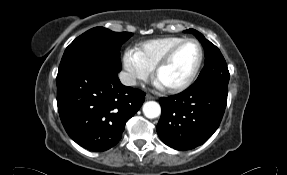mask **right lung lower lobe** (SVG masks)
I'll use <instances>...</instances> for the list:
<instances>
[{"mask_svg":"<svg viewBox=\"0 0 287 175\" xmlns=\"http://www.w3.org/2000/svg\"><path fill=\"white\" fill-rule=\"evenodd\" d=\"M118 72L80 65L57 75V105L68 135L90 151H105L122 137L125 123L139 110L145 93L126 87Z\"/></svg>","mask_w":287,"mask_h":175,"instance_id":"right-lung-lower-lobe-1","label":"right lung lower lobe"}]
</instances>
